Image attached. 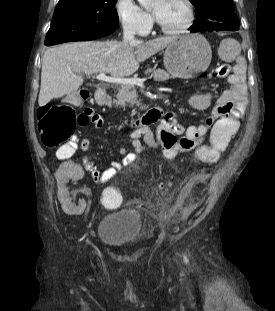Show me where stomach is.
Masks as SVG:
<instances>
[{"instance_id": "obj_1", "label": "stomach", "mask_w": 275, "mask_h": 311, "mask_svg": "<svg viewBox=\"0 0 275 311\" xmlns=\"http://www.w3.org/2000/svg\"><path fill=\"white\" fill-rule=\"evenodd\" d=\"M211 59L210 44L202 35L194 33L171 41L164 52L163 62L173 77L190 79L205 72Z\"/></svg>"}]
</instances>
